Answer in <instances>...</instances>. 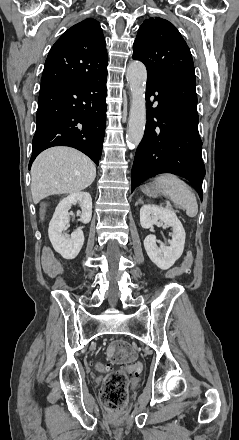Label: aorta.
I'll return each instance as SVG.
<instances>
[{"instance_id":"762f6f07","label":"aorta","mask_w":239,"mask_h":440,"mask_svg":"<svg viewBox=\"0 0 239 440\" xmlns=\"http://www.w3.org/2000/svg\"><path fill=\"white\" fill-rule=\"evenodd\" d=\"M127 80L130 84L131 106L127 130V144H140L146 124L145 88L147 70L142 62H131L127 68Z\"/></svg>"}]
</instances>
